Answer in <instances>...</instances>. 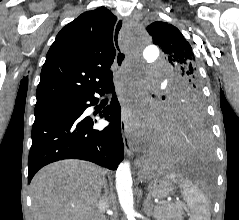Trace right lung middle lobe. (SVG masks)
<instances>
[{
  "label": "right lung middle lobe",
  "mask_w": 239,
  "mask_h": 220,
  "mask_svg": "<svg viewBox=\"0 0 239 220\" xmlns=\"http://www.w3.org/2000/svg\"><path fill=\"white\" fill-rule=\"evenodd\" d=\"M57 105H59V104H53V105L42 106V107H40V108H35V110L45 109V108H53V107H55V106H57Z\"/></svg>",
  "instance_id": "dd1d6c3e"
}]
</instances>
